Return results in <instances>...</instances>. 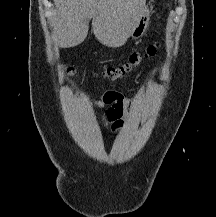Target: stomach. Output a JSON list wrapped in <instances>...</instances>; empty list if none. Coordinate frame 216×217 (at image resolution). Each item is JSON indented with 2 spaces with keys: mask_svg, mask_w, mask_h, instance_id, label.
<instances>
[{
  "mask_svg": "<svg viewBox=\"0 0 216 217\" xmlns=\"http://www.w3.org/2000/svg\"><path fill=\"white\" fill-rule=\"evenodd\" d=\"M150 22V10L145 6L143 13L140 15L139 20L134 25L132 31L129 36L133 39H138L142 37L148 27Z\"/></svg>",
  "mask_w": 216,
  "mask_h": 217,
  "instance_id": "obj_1",
  "label": "stomach"
}]
</instances>
